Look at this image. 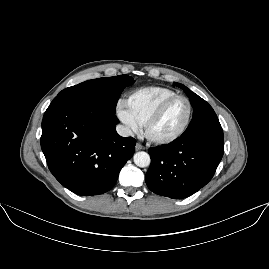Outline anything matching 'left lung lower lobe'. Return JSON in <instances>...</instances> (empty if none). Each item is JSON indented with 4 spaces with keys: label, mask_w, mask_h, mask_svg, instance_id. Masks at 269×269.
<instances>
[{
    "label": "left lung lower lobe",
    "mask_w": 269,
    "mask_h": 269,
    "mask_svg": "<svg viewBox=\"0 0 269 269\" xmlns=\"http://www.w3.org/2000/svg\"><path fill=\"white\" fill-rule=\"evenodd\" d=\"M151 164L145 175L148 188L172 199H183L213 177L224 152L222 129L180 136L169 145L148 150Z\"/></svg>",
    "instance_id": "obj_1"
}]
</instances>
